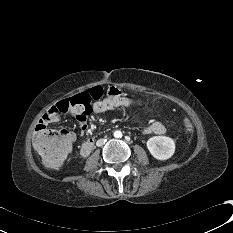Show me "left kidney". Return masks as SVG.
I'll return each mask as SVG.
<instances>
[{
  "label": "left kidney",
  "mask_w": 233,
  "mask_h": 233,
  "mask_svg": "<svg viewBox=\"0 0 233 233\" xmlns=\"http://www.w3.org/2000/svg\"><path fill=\"white\" fill-rule=\"evenodd\" d=\"M147 148L157 160H167L175 152V142L167 136H153L147 141Z\"/></svg>",
  "instance_id": "1"
}]
</instances>
